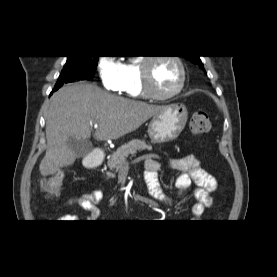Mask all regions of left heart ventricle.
<instances>
[{"label": "left heart ventricle", "mask_w": 277, "mask_h": 277, "mask_svg": "<svg viewBox=\"0 0 277 277\" xmlns=\"http://www.w3.org/2000/svg\"><path fill=\"white\" fill-rule=\"evenodd\" d=\"M179 77V69L171 60L159 59L152 65V86L159 94H168L173 91L179 83Z\"/></svg>", "instance_id": "b2bd125f"}]
</instances>
